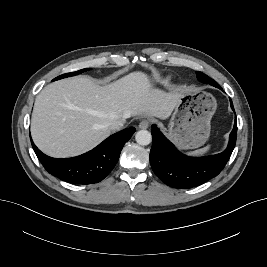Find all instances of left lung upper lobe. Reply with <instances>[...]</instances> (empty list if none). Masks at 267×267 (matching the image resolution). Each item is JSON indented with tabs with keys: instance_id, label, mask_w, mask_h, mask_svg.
Instances as JSON below:
<instances>
[{
	"instance_id": "obj_1",
	"label": "left lung upper lobe",
	"mask_w": 267,
	"mask_h": 267,
	"mask_svg": "<svg viewBox=\"0 0 267 267\" xmlns=\"http://www.w3.org/2000/svg\"><path fill=\"white\" fill-rule=\"evenodd\" d=\"M197 78L199 81H201L203 83H207V84H210L212 86L218 85L213 79H211L210 77H208L207 75H205L202 72H197Z\"/></svg>"
}]
</instances>
